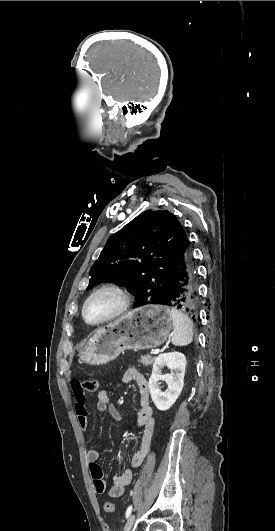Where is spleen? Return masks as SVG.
Returning <instances> with one entry per match:
<instances>
[{
  "label": "spleen",
  "mask_w": 275,
  "mask_h": 531,
  "mask_svg": "<svg viewBox=\"0 0 275 531\" xmlns=\"http://www.w3.org/2000/svg\"><path fill=\"white\" fill-rule=\"evenodd\" d=\"M172 317L173 335L172 343L176 347H185L193 341V323L186 313L171 309L169 311Z\"/></svg>",
  "instance_id": "spleen-1"
}]
</instances>
